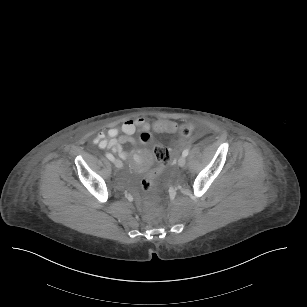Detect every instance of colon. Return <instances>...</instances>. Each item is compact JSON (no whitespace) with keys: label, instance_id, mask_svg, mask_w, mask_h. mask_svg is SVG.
I'll return each instance as SVG.
<instances>
[{"label":"colon","instance_id":"5ec220e1","mask_svg":"<svg viewBox=\"0 0 307 307\" xmlns=\"http://www.w3.org/2000/svg\"><path fill=\"white\" fill-rule=\"evenodd\" d=\"M154 130L157 133H175L178 130V123L175 120H157L154 123ZM191 132L192 126L190 124H183L179 129L180 135L184 137L189 136ZM150 138L151 135L148 132H144L140 136V139L143 142L150 140ZM179 141L183 142L184 138L180 137ZM153 153L160 165L156 171H150L148 177L145 176L142 178V188L146 192L153 191L156 188L155 180L162 176L171 159L170 149L163 144H155Z\"/></svg>","mask_w":307,"mask_h":307}]
</instances>
